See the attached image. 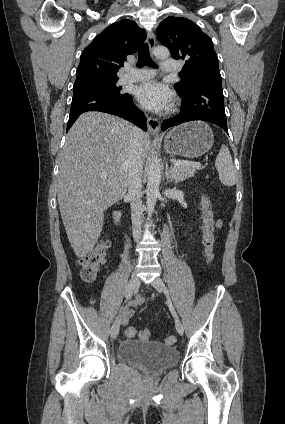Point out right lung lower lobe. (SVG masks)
Instances as JSON below:
<instances>
[{"label":"right lung lower lobe","instance_id":"98d812e1","mask_svg":"<svg viewBox=\"0 0 285 424\" xmlns=\"http://www.w3.org/2000/svg\"><path fill=\"white\" fill-rule=\"evenodd\" d=\"M87 111H101L116 115L132 122L144 131L147 130L145 115L134 106L132 96L129 94L124 97H113L98 93L74 94L67 131L79 115Z\"/></svg>","mask_w":285,"mask_h":424}]
</instances>
